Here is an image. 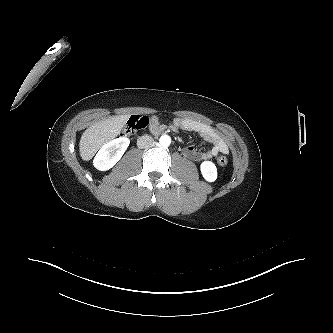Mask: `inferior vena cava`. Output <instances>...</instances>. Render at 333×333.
Masks as SVG:
<instances>
[{
    "mask_svg": "<svg viewBox=\"0 0 333 333\" xmlns=\"http://www.w3.org/2000/svg\"><path fill=\"white\" fill-rule=\"evenodd\" d=\"M152 143H153L152 137L147 136V135L141 136L137 140V146L140 149L147 148V147L151 146Z\"/></svg>",
    "mask_w": 333,
    "mask_h": 333,
    "instance_id": "inferior-vena-cava-1",
    "label": "inferior vena cava"
}]
</instances>
